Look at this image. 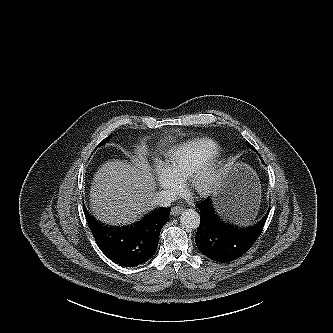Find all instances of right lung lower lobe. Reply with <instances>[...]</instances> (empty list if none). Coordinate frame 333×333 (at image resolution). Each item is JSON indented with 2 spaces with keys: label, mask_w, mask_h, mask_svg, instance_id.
Wrapping results in <instances>:
<instances>
[{
  "label": "right lung lower lobe",
  "mask_w": 333,
  "mask_h": 333,
  "mask_svg": "<svg viewBox=\"0 0 333 333\" xmlns=\"http://www.w3.org/2000/svg\"><path fill=\"white\" fill-rule=\"evenodd\" d=\"M170 208L151 211L136 223L110 227L98 222L84 207V214L101 251L113 262L135 267L148 261L155 253L161 228L169 221Z\"/></svg>",
  "instance_id": "obj_1"
}]
</instances>
